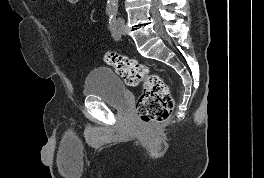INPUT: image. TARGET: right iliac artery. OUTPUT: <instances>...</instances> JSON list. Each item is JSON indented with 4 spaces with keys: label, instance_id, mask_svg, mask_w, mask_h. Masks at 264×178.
<instances>
[{
    "label": "right iliac artery",
    "instance_id": "obj_1",
    "mask_svg": "<svg viewBox=\"0 0 264 178\" xmlns=\"http://www.w3.org/2000/svg\"><path fill=\"white\" fill-rule=\"evenodd\" d=\"M111 13H112V12H111V11H109V12H108V15H111Z\"/></svg>",
    "mask_w": 264,
    "mask_h": 178
}]
</instances>
